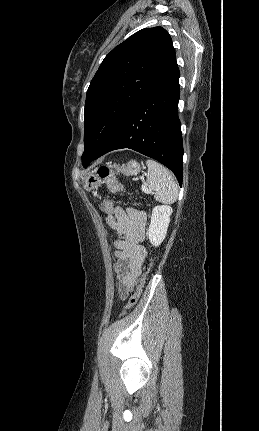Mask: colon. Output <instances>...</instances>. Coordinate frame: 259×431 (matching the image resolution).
<instances>
[{"label":"colon","instance_id":"5ec220e1","mask_svg":"<svg viewBox=\"0 0 259 431\" xmlns=\"http://www.w3.org/2000/svg\"><path fill=\"white\" fill-rule=\"evenodd\" d=\"M97 176L107 184V186L111 192L119 193L122 191V185L117 180L116 173L111 169V167L109 165L103 164V165L99 166L97 168ZM115 205H116V207H114V203L110 200H104L100 204V209H101V211H103L105 213H109V215L112 216V215H114L115 212L116 213L119 212V210H120L119 208H121L122 204H121V202L118 201V202H116ZM139 208H142V205H139ZM150 267H151V264L148 267L147 271H145L142 274V276L140 277L138 284H137L134 292L132 293L131 297L129 298L126 306L124 307V310H123L121 316H123L124 314H126V312L131 310L136 305V303L138 302L140 295L142 293V290H143V286L145 283L147 273H148Z\"/></svg>","mask_w":259,"mask_h":431}]
</instances>
